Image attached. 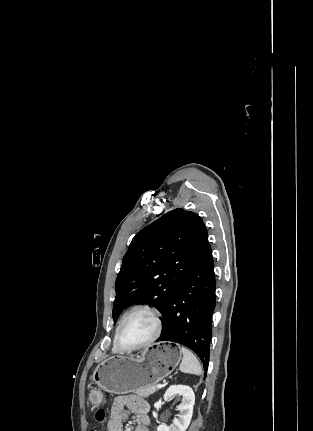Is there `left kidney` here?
<instances>
[{
	"mask_svg": "<svg viewBox=\"0 0 313 431\" xmlns=\"http://www.w3.org/2000/svg\"><path fill=\"white\" fill-rule=\"evenodd\" d=\"M182 396V402L177 407L179 414L174 418L170 426L159 425L157 431H186L188 428L195 403V394L189 386L172 385L164 394V400L168 401L174 396Z\"/></svg>",
	"mask_w": 313,
	"mask_h": 431,
	"instance_id": "obj_1",
	"label": "left kidney"
}]
</instances>
